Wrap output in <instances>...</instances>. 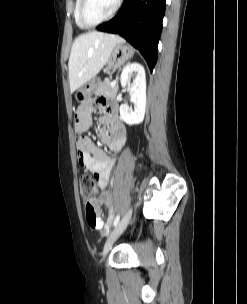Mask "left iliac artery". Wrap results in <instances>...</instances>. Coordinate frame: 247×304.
I'll return each mask as SVG.
<instances>
[{
  "mask_svg": "<svg viewBox=\"0 0 247 304\" xmlns=\"http://www.w3.org/2000/svg\"><path fill=\"white\" fill-rule=\"evenodd\" d=\"M119 220H120V215H117L114 219L113 225L116 226L119 223Z\"/></svg>",
  "mask_w": 247,
  "mask_h": 304,
  "instance_id": "obj_1",
  "label": "left iliac artery"
}]
</instances>
